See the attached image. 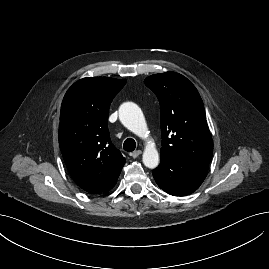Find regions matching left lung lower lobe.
<instances>
[{
    "label": "left lung lower lobe",
    "instance_id": "0a47b994",
    "mask_svg": "<svg viewBox=\"0 0 269 269\" xmlns=\"http://www.w3.org/2000/svg\"><path fill=\"white\" fill-rule=\"evenodd\" d=\"M208 165L175 156L161 154L160 165L153 170L158 186L173 196H185L194 192L204 181Z\"/></svg>",
    "mask_w": 269,
    "mask_h": 269
}]
</instances>
